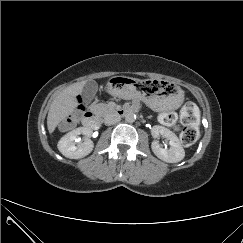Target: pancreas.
I'll use <instances>...</instances> for the list:
<instances>
[{
    "instance_id": "cf45deb5",
    "label": "pancreas",
    "mask_w": 243,
    "mask_h": 243,
    "mask_svg": "<svg viewBox=\"0 0 243 243\" xmlns=\"http://www.w3.org/2000/svg\"><path fill=\"white\" fill-rule=\"evenodd\" d=\"M99 106H100V107H103V108H105V107H106V105H105V104H100Z\"/></svg>"
}]
</instances>
